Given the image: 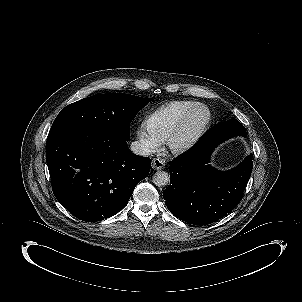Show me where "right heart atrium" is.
Returning a JSON list of instances; mask_svg holds the SVG:
<instances>
[{
	"label": "right heart atrium",
	"mask_w": 302,
	"mask_h": 302,
	"mask_svg": "<svg viewBox=\"0 0 302 302\" xmlns=\"http://www.w3.org/2000/svg\"><path fill=\"white\" fill-rule=\"evenodd\" d=\"M136 139L138 148L143 154H150L157 151L162 144V140L150 133L144 125H140L137 128Z\"/></svg>",
	"instance_id": "right-heart-atrium-1"
}]
</instances>
